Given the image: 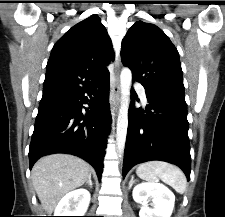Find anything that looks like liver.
Here are the masks:
<instances>
[{"instance_id":"6515ba94","label":"liver","mask_w":225,"mask_h":217,"mask_svg":"<svg viewBox=\"0 0 225 217\" xmlns=\"http://www.w3.org/2000/svg\"><path fill=\"white\" fill-rule=\"evenodd\" d=\"M83 159L68 154H51L40 158L31 172L32 183L42 208L52 214L68 192L81 187L91 173Z\"/></svg>"}]
</instances>
